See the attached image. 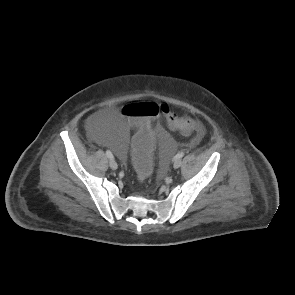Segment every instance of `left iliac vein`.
I'll list each match as a JSON object with an SVG mask.
<instances>
[{
	"label": "left iliac vein",
	"instance_id": "left-iliac-vein-1",
	"mask_svg": "<svg viewBox=\"0 0 295 295\" xmlns=\"http://www.w3.org/2000/svg\"><path fill=\"white\" fill-rule=\"evenodd\" d=\"M181 165H182V160H181V159H177V160H175L174 163H173V167H174L175 169L179 168Z\"/></svg>",
	"mask_w": 295,
	"mask_h": 295
}]
</instances>
